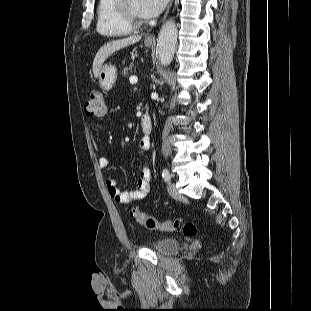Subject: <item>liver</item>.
Masks as SVG:
<instances>
[{
  "label": "liver",
  "mask_w": 311,
  "mask_h": 311,
  "mask_svg": "<svg viewBox=\"0 0 311 311\" xmlns=\"http://www.w3.org/2000/svg\"><path fill=\"white\" fill-rule=\"evenodd\" d=\"M141 36H130L127 38L119 39L112 41L110 43H107L106 45L102 46L93 61V74L95 78H98V74L100 71V68L102 67L105 60L115 51H118L120 49H123L129 45H132L138 41L141 40Z\"/></svg>",
  "instance_id": "6515ba94"
}]
</instances>
